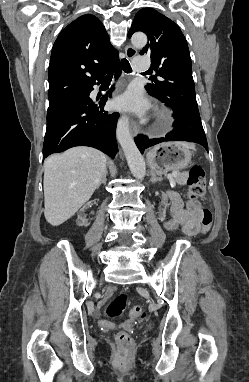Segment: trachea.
<instances>
[{
	"label": "trachea",
	"mask_w": 249,
	"mask_h": 382,
	"mask_svg": "<svg viewBox=\"0 0 249 382\" xmlns=\"http://www.w3.org/2000/svg\"><path fill=\"white\" fill-rule=\"evenodd\" d=\"M121 66H122V69H123L124 72H126V73H131L132 72L131 66H130V64H129L127 59H122L121 60ZM112 76H113V74L110 73V74H108L106 76V78H112Z\"/></svg>",
	"instance_id": "1"
}]
</instances>
